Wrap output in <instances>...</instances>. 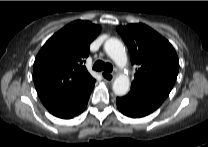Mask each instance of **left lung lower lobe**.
<instances>
[{"label": "left lung lower lobe", "mask_w": 208, "mask_h": 147, "mask_svg": "<svg viewBox=\"0 0 208 147\" xmlns=\"http://www.w3.org/2000/svg\"><path fill=\"white\" fill-rule=\"evenodd\" d=\"M164 97L146 89L131 86L130 92L116 99L121 113L128 117H145L155 111L164 101Z\"/></svg>", "instance_id": "obj_1"}]
</instances>
